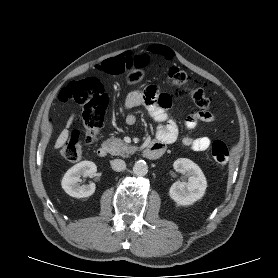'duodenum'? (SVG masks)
Instances as JSON below:
<instances>
[{"instance_id": "1", "label": "duodenum", "mask_w": 278, "mask_h": 278, "mask_svg": "<svg viewBox=\"0 0 278 278\" xmlns=\"http://www.w3.org/2000/svg\"><path fill=\"white\" fill-rule=\"evenodd\" d=\"M165 151L163 144L159 142H151L144 149L143 154L146 158L150 160L159 159ZM97 155L101 158H105L109 155L110 149L107 145H101L96 151Z\"/></svg>"}]
</instances>
